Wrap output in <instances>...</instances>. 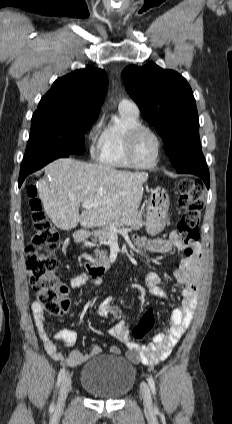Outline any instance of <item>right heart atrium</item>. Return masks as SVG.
Segmentation results:
<instances>
[{
  "instance_id": "obj_1",
  "label": "right heart atrium",
  "mask_w": 232,
  "mask_h": 424,
  "mask_svg": "<svg viewBox=\"0 0 232 424\" xmlns=\"http://www.w3.org/2000/svg\"><path fill=\"white\" fill-rule=\"evenodd\" d=\"M88 149L91 156H95L99 150V138L97 136V125L92 126L87 133Z\"/></svg>"
}]
</instances>
